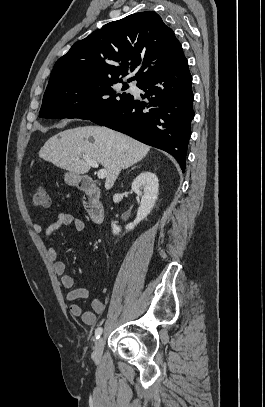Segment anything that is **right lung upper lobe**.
Segmentation results:
<instances>
[{"mask_svg": "<svg viewBox=\"0 0 265 407\" xmlns=\"http://www.w3.org/2000/svg\"><path fill=\"white\" fill-rule=\"evenodd\" d=\"M182 54L174 31L157 13H135L76 42L55 63L49 83L121 80L128 70L140 67L135 77L128 80L139 83L170 66Z\"/></svg>", "mask_w": 265, "mask_h": 407, "instance_id": "1", "label": "right lung upper lobe"}]
</instances>
